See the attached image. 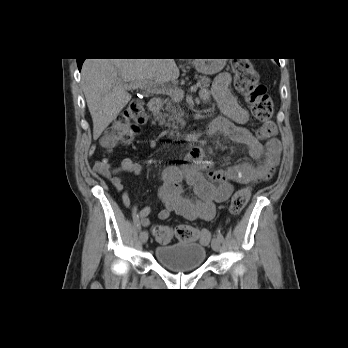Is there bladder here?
I'll use <instances>...</instances> for the list:
<instances>
[{
  "label": "bladder",
  "mask_w": 348,
  "mask_h": 348,
  "mask_svg": "<svg viewBox=\"0 0 348 348\" xmlns=\"http://www.w3.org/2000/svg\"><path fill=\"white\" fill-rule=\"evenodd\" d=\"M156 259L173 272H189L205 262V247L197 242H178L159 245L155 249Z\"/></svg>",
  "instance_id": "31cf9c89"
}]
</instances>
